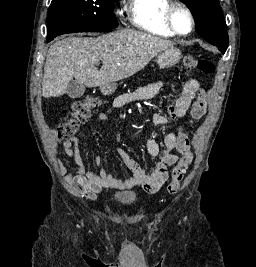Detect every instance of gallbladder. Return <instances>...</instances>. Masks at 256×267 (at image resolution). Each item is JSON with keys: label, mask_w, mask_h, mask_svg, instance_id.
Listing matches in <instances>:
<instances>
[{"label": "gallbladder", "mask_w": 256, "mask_h": 267, "mask_svg": "<svg viewBox=\"0 0 256 267\" xmlns=\"http://www.w3.org/2000/svg\"><path fill=\"white\" fill-rule=\"evenodd\" d=\"M86 86L76 82V80H71L67 86L66 94L69 98H81L85 92Z\"/></svg>", "instance_id": "gallbladder-1"}]
</instances>
